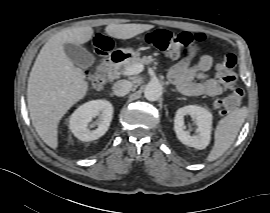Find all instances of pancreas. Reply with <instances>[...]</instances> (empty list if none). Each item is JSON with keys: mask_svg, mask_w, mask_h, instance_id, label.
Listing matches in <instances>:
<instances>
[{"mask_svg": "<svg viewBox=\"0 0 270 213\" xmlns=\"http://www.w3.org/2000/svg\"><path fill=\"white\" fill-rule=\"evenodd\" d=\"M151 64L154 63L155 65L158 64V61L155 60L152 56H143L142 58L140 57H134L129 61H126L123 64V69L126 70L127 68H130L131 66H133L134 64Z\"/></svg>", "mask_w": 270, "mask_h": 213, "instance_id": "cf45deb5", "label": "pancreas"}]
</instances>
